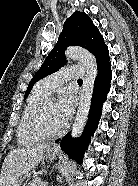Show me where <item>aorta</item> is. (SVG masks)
Masks as SVG:
<instances>
[{"label": "aorta", "mask_w": 138, "mask_h": 186, "mask_svg": "<svg viewBox=\"0 0 138 186\" xmlns=\"http://www.w3.org/2000/svg\"><path fill=\"white\" fill-rule=\"evenodd\" d=\"M67 59L81 62L86 70V75L80 94V102L77 114L72 126L71 136L75 138L83 129L91 105L94 82L98 73L95 57L87 50L80 47H69L65 51Z\"/></svg>", "instance_id": "obj_1"}]
</instances>
